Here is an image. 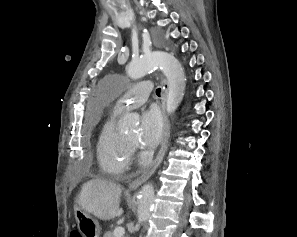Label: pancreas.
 I'll use <instances>...</instances> for the list:
<instances>
[{
  "label": "pancreas",
  "instance_id": "1",
  "mask_svg": "<svg viewBox=\"0 0 297 237\" xmlns=\"http://www.w3.org/2000/svg\"><path fill=\"white\" fill-rule=\"evenodd\" d=\"M103 237H114L113 233L111 231H108L104 234Z\"/></svg>",
  "mask_w": 297,
  "mask_h": 237
}]
</instances>
